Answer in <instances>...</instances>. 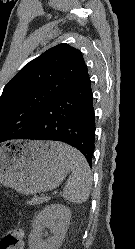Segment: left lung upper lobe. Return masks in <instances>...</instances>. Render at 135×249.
Instances as JSON below:
<instances>
[{
  "label": "left lung upper lobe",
  "instance_id": "5c2ea615",
  "mask_svg": "<svg viewBox=\"0 0 135 249\" xmlns=\"http://www.w3.org/2000/svg\"><path fill=\"white\" fill-rule=\"evenodd\" d=\"M88 76L82 53L64 43L25 65L0 97V143L31 131L47 105Z\"/></svg>",
  "mask_w": 135,
  "mask_h": 249
}]
</instances>
